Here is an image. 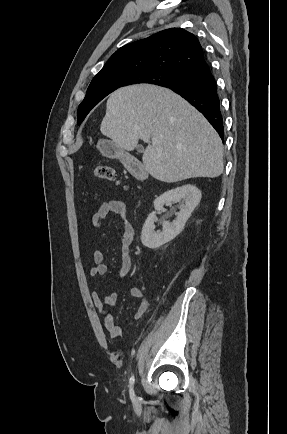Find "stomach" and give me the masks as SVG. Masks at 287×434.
Instances as JSON below:
<instances>
[{
  "instance_id": "stomach-1",
  "label": "stomach",
  "mask_w": 287,
  "mask_h": 434,
  "mask_svg": "<svg viewBox=\"0 0 287 434\" xmlns=\"http://www.w3.org/2000/svg\"><path fill=\"white\" fill-rule=\"evenodd\" d=\"M100 152L111 159H119L124 164H128L130 155L115 142L109 140H100L97 145Z\"/></svg>"
}]
</instances>
